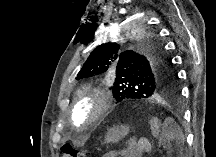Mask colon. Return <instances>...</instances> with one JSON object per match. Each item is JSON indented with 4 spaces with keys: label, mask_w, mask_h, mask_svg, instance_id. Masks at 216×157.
<instances>
[{
    "label": "colon",
    "mask_w": 216,
    "mask_h": 157,
    "mask_svg": "<svg viewBox=\"0 0 216 157\" xmlns=\"http://www.w3.org/2000/svg\"><path fill=\"white\" fill-rule=\"evenodd\" d=\"M150 123H151V128L154 131H157L159 126L158 120L156 118H152ZM61 154L62 157H84V154L81 151H79L78 149H76L70 144H64L61 147Z\"/></svg>",
    "instance_id": "1"
}]
</instances>
